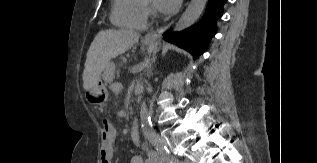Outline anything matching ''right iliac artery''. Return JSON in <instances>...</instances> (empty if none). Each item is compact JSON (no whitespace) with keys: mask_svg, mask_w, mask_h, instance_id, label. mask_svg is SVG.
Returning <instances> with one entry per match:
<instances>
[{"mask_svg":"<svg viewBox=\"0 0 317 163\" xmlns=\"http://www.w3.org/2000/svg\"><path fill=\"white\" fill-rule=\"evenodd\" d=\"M162 160L164 161V163H169L170 162L168 153H163Z\"/></svg>","mask_w":317,"mask_h":163,"instance_id":"obj_1","label":"right iliac artery"}]
</instances>
